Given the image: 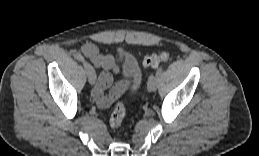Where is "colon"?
<instances>
[{
  "mask_svg": "<svg viewBox=\"0 0 259 156\" xmlns=\"http://www.w3.org/2000/svg\"><path fill=\"white\" fill-rule=\"evenodd\" d=\"M167 59H168L167 52L152 54L144 57L143 65L146 67L154 68V67H157L161 62L166 61ZM124 116H125V106L122 101H119L110 116V125L114 128L121 127Z\"/></svg>",
  "mask_w": 259,
  "mask_h": 156,
  "instance_id": "5ec220e1",
  "label": "colon"
}]
</instances>
